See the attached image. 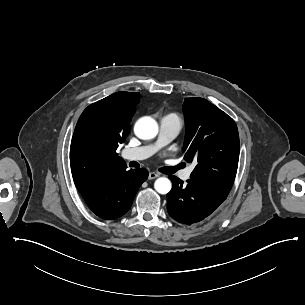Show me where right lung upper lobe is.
Wrapping results in <instances>:
<instances>
[{"label": "right lung upper lobe", "instance_id": "obj_1", "mask_svg": "<svg viewBox=\"0 0 305 305\" xmlns=\"http://www.w3.org/2000/svg\"><path fill=\"white\" fill-rule=\"evenodd\" d=\"M140 100L137 92H117L89 105L81 114L70 146V164L79 192L109 173L127 168L116 149L129 134Z\"/></svg>", "mask_w": 305, "mask_h": 305}]
</instances>
